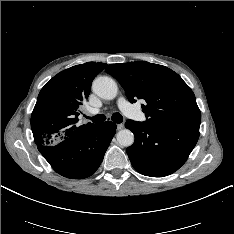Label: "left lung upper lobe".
Segmentation results:
<instances>
[{
	"label": "left lung upper lobe",
	"instance_id": "1",
	"mask_svg": "<svg viewBox=\"0 0 234 234\" xmlns=\"http://www.w3.org/2000/svg\"><path fill=\"white\" fill-rule=\"evenodd\" d=\"M119 81L131 103L145 100L148 124L200 126L201 114L190 87L171 69L136 61L110 64L106 70Z\"/></svg>",
	"mask_w": 234,
	"mask_h": 234
}]
</instances>
